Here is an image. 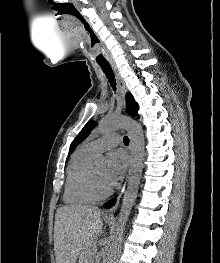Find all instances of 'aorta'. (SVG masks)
<instances>
[{"label":"aorta","instance_id":"aorta-1","mask_svg":"<svg viewBox=\"0 0 220 263\" xmlns=\"http://www.w3.org/2000/svg\"><path fill=\"white\" fill-rule=\"evenodd\" d=\"M120 128L125 129L129 134L132 158L127 188L124 193L118 222L110 245V256L108 263H111L113 261V258L115 257L119 246L120 234L125 228V224L135 203L138 188L140 185L141 174L143 169V159L145 154L144 133L142 127L136 121L121 116L105 117L100 121L98 126V130L102 133L111 132ZM97 161L104 162L105 158L103 156H99Z\"/></svg>","mask_w":220,"mask_h":263}]
</instances>
